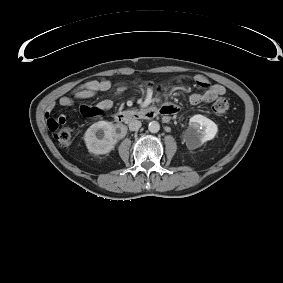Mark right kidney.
Returning a JSON list of instances; mask_svg holds the SVG:
<instances>
[{"label": "right kidney", "mask_w": 283, "mask_h": 283, "mask_svg": "<svg viewBox=\"0 0 283 283\" xmlns=\"http://www.w3.org/2000/svg\"><path fill=\"white\" fill-rule=\"evenodd\" d=\"M120 138L114 125L107 121L92 124L84 134L88 151L97 155L109 153Z\"/></svg>", "instance_id": "1"}]
</instances>
